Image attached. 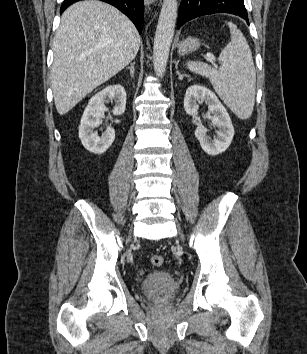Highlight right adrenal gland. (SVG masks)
Masks as SVG:
<instances>
[{
    "mask_svg": "<svg viewBox=\"0 0 307 354\" xmlns=\"http://www.w3.org/2000/svg\"><path fill=\"white\" fill-rule=\"evenodd\" d=\"M134 65L135 62L131 63L130 67H127V69H130V73L132 77H134Z\"/></svg>",
    "mask_w": 307,
    "mask_h": 354,
    "instance_id": "obj_1",
    "label": "right adrenal gland"
}]
</instances>
